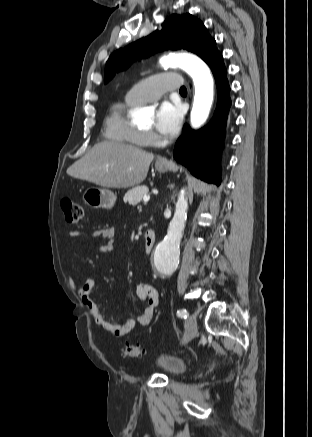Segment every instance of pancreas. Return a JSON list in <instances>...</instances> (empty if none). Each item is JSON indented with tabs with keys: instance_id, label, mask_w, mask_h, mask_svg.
<instances>
[{
	"instance_id": "obj_1",
	"label": "pancreas",
	"mask_w": 312,
	"mask_h": 437,
	"mask_svg": "<svg viewBox=\"0 0 312 437\" xmlns=\"http://www.w3.org/2000/svg\"><path fill=\"white\" fill-rule=\"evenodd\" d=\"M148 194V187L147 186H136L129 190L123 200L125 203H129L130 205H137L145 195Z\"/></svg>"
}]
</instances>
